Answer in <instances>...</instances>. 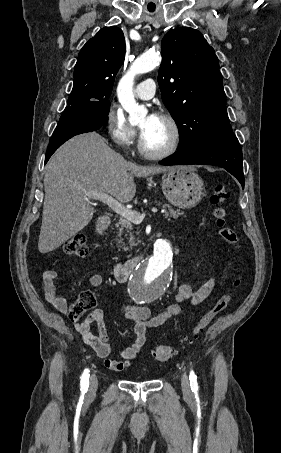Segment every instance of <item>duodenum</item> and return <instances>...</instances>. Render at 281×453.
Instances as JSON below:
<instances>
[{"mask_svg": "<svg viewBox=\"0 0 281 453\" xmlns=\"http://www.w3.org/2000/svg\"><path fill=\"white\" fill-rule=\"evenodd\" d=\"M109 225H110L109 218H100L96 222L95 230L98 234H103L107 231ZM141 259L142 256H137L125 262H120L116 264L114 267V276L116 280L119 282L127 281L131 273L134 271L136 266L141 261Z\"/></svg>", "mask_w": 281, "mask_h": 453, "instance_id": "410a0bca", "label": "duodenum"}]
</instances>
